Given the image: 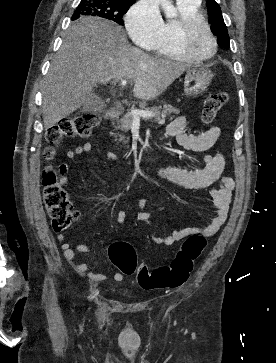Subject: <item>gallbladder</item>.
<instances>
[{
  "instance_id": "obj_1",
  "label": "gallbladder",
  "mask_w": 276,
  "mask_h": 363,
  "mask_svg": "<svg viewBox=\"0 0 276 363\" xmlns=\"http://www.w3.org/2000/svg\"><path fill=\"white\" fill-rule=\"evenodd\" d=\"M104 101L97 95L92 93L88 96L87 101L80 107L82 112H98L104 109Z\"/></svg>"
}]
</instances>
